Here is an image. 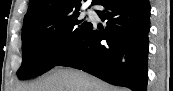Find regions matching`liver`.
I'll list each match as a JSON object with an SVG mask.
<instances>
[{"label": "liver", "mask_w": 173, "mask_h": 91, "mask_svg": "<svg viewBox=\"0 0 173 91\" xmlns=\"http://www.w3.org/2000/svg\"><path fill=\"white\" fill-rule=\"evenodd\" d=\"M17 91H127L113 87L81 70L57 67Z\"/></svg>", "instance_id": "1"}]
</instances>
